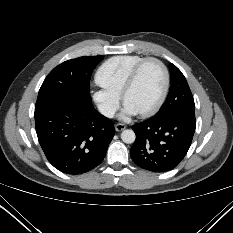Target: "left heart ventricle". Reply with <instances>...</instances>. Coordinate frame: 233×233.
<instances>
[{
  "label": "left heart ventricle",
  "mask_w": 233,
  "mask_h": 233,
  "mask_svg": "<svg viewBox=\"0 0 233 233\" xmlns=\"http://www.w3.org/2000/svg\"><path fill=\"white\" fill-rule=\"evenodd\" d=\"M164 85V76L155 62L146 63L141 69L134 87L127 94L125 104L138 113L150 109L159 99Z\"/></svg>",
  "instance_id": "left-heart-ventricle-1"
}]
</instances>
